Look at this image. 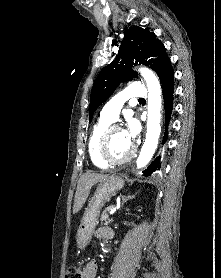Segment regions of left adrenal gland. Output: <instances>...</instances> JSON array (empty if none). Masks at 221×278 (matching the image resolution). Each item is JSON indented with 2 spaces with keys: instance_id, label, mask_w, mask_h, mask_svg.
<instances>
[{
  "instance_id": "obj_1",
  "label": "left adrenal gland",
  "mask_w": 221,
  "mask_h": 278,
  "mask_svg": "<svg viewBox=\"0 0 221 278\" xmlns=\"http://www.w3.org/2000/svg\"><path fill=\"white\" fill-rule=\"evenodd\" d=\"M134 197H135L134 195L122 196V205L126 203L128 200L133 199Z\"/></svg>"
}]
</instances>
